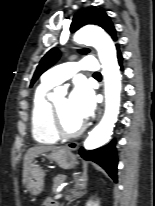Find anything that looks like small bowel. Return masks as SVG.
I'll return each mask as SVG.
<instances>
[{
	"mask_svg": "<svg viewBox=\"0 0 155 206\" xmlns=\"http://www.w3.org/2000/svg\"><path fill=\"white\" fill-rule=\"evenodd\" d=\"M44 206H56V204L52 200H46Z\"/></svg>",
	"mask_w": 155,
	"mask_h": 206,
	"instance_id": "1",
	"label": "small bowel"
}]
</instances>
